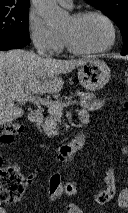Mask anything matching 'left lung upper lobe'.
Segmentation results:
<instances>
[{"label":"left lung upper lobe","mask_w":128,"mask_h":213,"mask_svg":"<svg viewBox=\"0 0 128 213\" xmlns=\"http://www.w3.org/2000/svg\"><path fill=\"white\" fill-rule=\"evenodd\" d=\"M86 1L102 11L117 24L123 37L122 51L128 52V0Z\"/></svg>","instance_id":"1"}]
</instances>
